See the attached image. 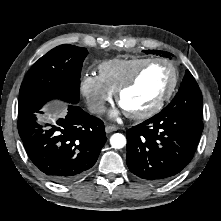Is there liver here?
Returning <instances> with one entry per match:
<instances>
[{
	"label": "liver",
	"mask_w": 221,
	"mask_h": 221,
	"mask_svg": "<svg viewBox=\"0 0 221 221\" xmlns=\"http://www.w3.org/2000/svg\"><path fill=\"white\" fill-rule=\"evenodd\" d=\"M44 111L46 112L45 114L38 115L40 120H51L52 117L62 116L66 113L65 110L57 108L56 106H49L45 108Z\"/></svg>",
	"instance_id": "liver-1"
}]
</instances>
